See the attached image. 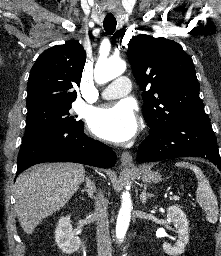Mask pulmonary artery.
I'll use <instances>...</instances> for the list:
<instances>
[{
  "instance_id": "pulmonary-artery-1",
  "label": "pulmonary artery",
  "mask_w": 221,
  "mask_h": 256,
  "mask_svg": "<svg viewBox=\"0 0 221 256\" xmlns=\"http://www.w3.org/2000/svg\"><path fill=\"white\" fill-rule=\"evenodd\" d=\"M131 83L127 77L121 76L106 86L102 92L103 99H117L126 96L130 92Z\"/></svg>"
}]
</instances>
